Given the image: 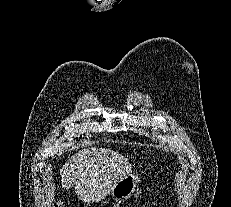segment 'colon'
Returning a JSON list of instances; mask_svg holds the SVG:
<instances>
[{"instance_id": "5ec220e1", "label": "colon", "mask_w": 231, "mask_h": 207, "mask_svg": "<svg viewBox=\"0 0 231 207\" xmlns=\"http://www.w3.org/2000/svg\"><path fill=\"white\" fill-rule=\"evenodd\" d=\"M53 207H62L60 203H55Z\"/></svg>"}]
</instances>
